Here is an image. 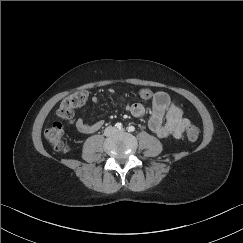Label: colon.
Listing matches in <instances>:
<instances>
[{
    "label": "colon",
    "instance_id": "5ec220e1",
    "mask_svg": "<svg viewBox=\"0 0 243 243\" xmlns=\"http://www.w3.org/2000/svg\"><path fill=\"white\" fill-rule=\"evenodd\" d=\"M88 99V93L85 90H78L73 94L64 98L57 109V114L60 118L65 119L69 122L72 121L74 110L86 103ZM187 137L190 141H196L199 137V129L195 125L187 126ZM45 137L52 144L53 148L58 151L65 153L68 148L64 143L63 128L59 122H54L45 129Z\"/></svg>",
    "mask_w": 243,
    "mask_h": 243
}]
</instances>
